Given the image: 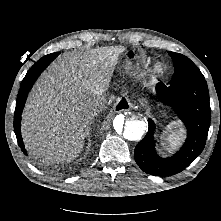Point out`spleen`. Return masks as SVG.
<instances>
[{
    "label": "spleen",
    "instance_id": "obj_1",
    "mask_svg": "<svg viewBox=\"0 0 221 221\" xmlns=\"http://www.w3.org/2000/svg\"><path fill=\"white\" fill-rule=\"evenodd\" d=\"M180 127V122L179 121H174L171 122L170 125H168V131H171L172 128H178ZM181 134V131H175V132H171L168 137L167 140L169 141L170 147H174V145L177 144L178 138Z\"/></svg>",
    "mask_w": 221,
    "mask_h": 221
}]
</instances>
